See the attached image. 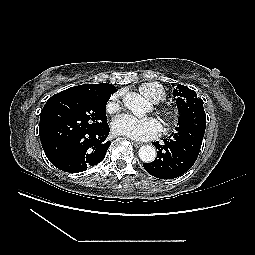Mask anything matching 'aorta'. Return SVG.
Masks as SVG:
<instances>
[{
    "instance_id": "1",
    "label": "aorta",
    "mask_w": 255,
    "mask_h": 255,
    "mask_svg": "<svg viewBox=\"0 0 255 255\" xmlns=\"http://www.w3.org/2000/svg\"><path fill=\"white\" fill-rule=\"evenodd\" d=\"M124 105L136 116L143 112V99L136 93H129L123 98ZM157 155L155 147L143 145L139 149V158L145 163H151Z\"/></svg>"
}]
</instances>
